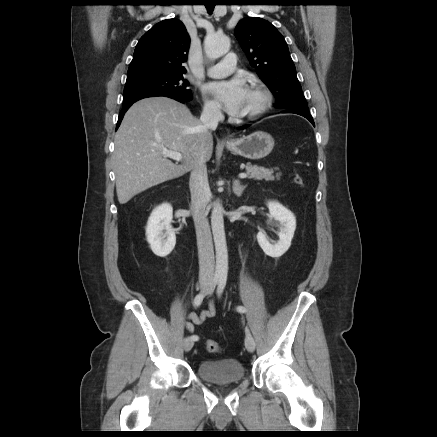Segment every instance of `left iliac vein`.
I'll use <instances>...</instances> for the list:
<instances>
[{"instance_id": "4c4485c4", "label": "left iliac vein", "mask_w": 437, "mask_h": 437, "mask_svg": "<svg viewBox=\"0 0 437 437\" xmlns=\"http://www.w3.org/2000/svg\"><path fill=\"white\" fill-rule=\"evenodd\" d=\"M245 347L249 352H254L255 350V341L250 332L246 333Z\"/></svg>"}]
</instances>
